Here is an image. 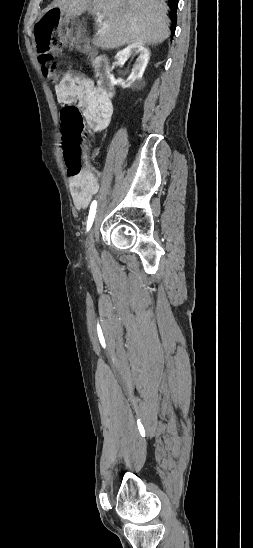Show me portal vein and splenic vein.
Wrapping results in <instances>:
<instances>
[{"mask_svg":"<svg viewBox=\"0 0 253 548\" xmlns=\"http://www.w3.org/2000/svg\"><path fill=\"white\" fill-rule=\"evenodd\" d=\"M102 18H103V17H102L101 15H98V16H97V19H96V22H97V23H101V22H102Z\"/></svg>","mask_w":253,"mask_h":548,"instance_id":"1","label":"portal vein and splenic vein"}]
</instances>
